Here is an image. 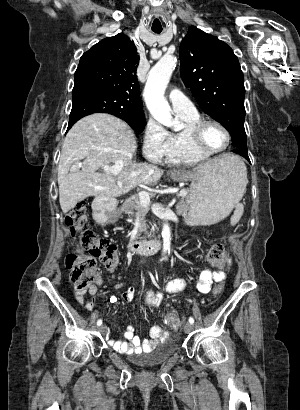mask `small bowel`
<instances>
[{
	"label": "small bowel",
	"instance_id": "obj_1",
	"mask_svg": "<svg viewBox=\"0 0 300 410\" xmlns=\"http://www.w3.org/2000/svg\"><path fill=\"white\" fill-rule=\"evenodd\" d=\"M231 260L226 259L223 264L217 265L219 270H204L199 276L197 290L202 294H207L211 291L212 285L217 282H222L226 278L227 270L230 268ZM103 283V278L97 276L95 280L85 289L77 290L75 299L79 304H85L88 311H92L95 306V300H85L86 295L97 296L98 286ZM186 286L183 279L175 278L167 282L166 291L168 293H178ZM134 288H128L122 295L124 301H131L134 297ZM144 300L149 306H157L161 300V295L150 290L144 292ZM111 301L116 303L117 297H112ZM168 333L161 326H153L150 330V338L141 340L135 333L133 326L129 325L125 331V340L109 339V344L121 353H141L153 349L158 343L162 342Z\"/></svg>",
	"mask_w": 300,
	"mask_h": 410
}]
</instances>
